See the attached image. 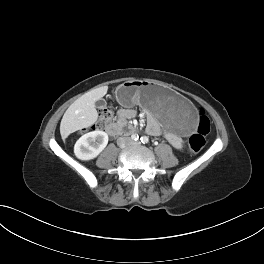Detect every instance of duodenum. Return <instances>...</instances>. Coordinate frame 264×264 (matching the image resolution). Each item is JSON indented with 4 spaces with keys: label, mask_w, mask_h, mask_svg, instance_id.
I'll use <instances>...</instances> for the list:
<instances>
[{
    "label": "duodenum",
    "mask_w": 264,
    "mask_h": 264,
    "mask_svg": "<svg viewBox=\"0 0 264 264\" xmlns=\"http://www.w3.org/2000/svg\"><path fill=\"white\" fill-rule=\"evenodd\" d=\"M135 129L128 127L120 122L109 123L106 127V131L111 136L126 135L133 132Z\"/></svg>",
    "instance_id": "duodenum-1"
}]
</instances>
